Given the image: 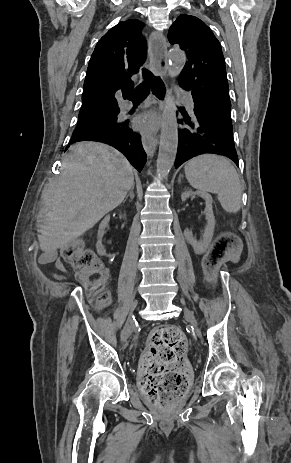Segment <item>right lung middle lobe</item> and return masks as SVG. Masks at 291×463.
I'll use <instances>...</instances> for the list:
<instances>
[{
  "instance_id": "obj_1",
  "label": "right lung middle lobe",
  "mask_w": 291,
  "mask_h": 463,
  "mask_svg": "<svg viewBox=\"0 0 291 463\" xmlns=\"http://www.w3.org/2000/svg\"><path fill=\"white\" fill-rule=\"evenodd\" d=\"M118 111L104 113L96 117L78 119V124L73 133L86 131L94 127L117 123Z\"/></svg>"
}]
</instances>
